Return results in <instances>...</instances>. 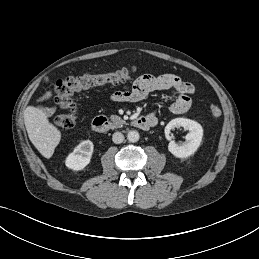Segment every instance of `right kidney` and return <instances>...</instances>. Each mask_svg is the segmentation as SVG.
Masks as SVG:
<instances>
[{
  "label": "right kidney",
  "instance_id": "right-kidney-1",
  "mask_svg": "<svg viewBox=\"0 0 259 259\" xmlns=\"http://www.w3.org/2000/svg\"><path fill=\"white\" fill-rule=\"evenodd\" d=\"M93 149L94 145L90 140L82 141L67 156L66 166L75 171L84 169L91 161Z\"/></svg>",
  "mask_w": 259,
  "mask_h": 259
}]
</instances>
